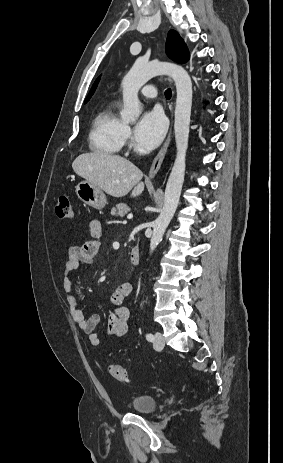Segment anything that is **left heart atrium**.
<instances>
[{"label": "left heart atrium", "mask_w": 283, "mask_h": 463, "mask_svg": "<svg viewBox=\"0 0 283 463\" xmlns=\"http://www.w3.org/2000/svg\"><path fill=\"white\" fill-rule=\"evenodd\" d=\"M167 130V121L157 109L142 115L135 127L136 143L144 149H153L163 140Z\"/></svg>", "instance_id": "left-heart-atrium-1"}]
</instances>
